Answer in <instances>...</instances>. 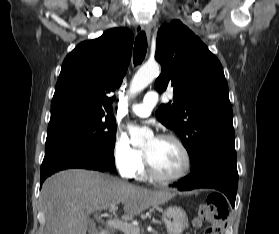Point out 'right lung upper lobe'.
I'll return each instance as SVG.
<instances>
[{
  "instance_id": "right-lung-upper-lobe-1",
  "label": "right lung upper lobe",
  "mask_w": 279,
  "mask_h": 234,
  "mask_svg": "<svg viewBox=\"0 0 279 234\" xmlns=\"http://www.w3.org/2000/svg\"><path fill=\"white\" fill-rule=\"evenodd\" d=\"M133 45V33L112 28L97 39L78 44L63 61L51 111L84 109L111 114L109 93L120 87Z\"/></svg>"
}]
</instances>
